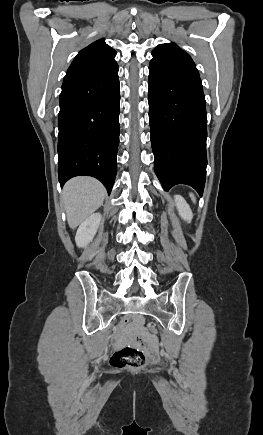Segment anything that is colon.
I'll return each mask as SVG.
<instances>
[{
	"instance_id": "colon-1",
	"label": "colon",
	"mask_w": 263,
	"mask_h": 435,
	"mask_svg": "<svg viewBox=\"0 0 263 435\" xmlns=\"http://www.w3.org/2000/svg\"><path fill=\"white\" fill-rule=\"evenodd\" d=\"M145 328L154 335L157 334V331L150 324H146ZM145 360V354L141 350L134 347H124L114 352L110 361L112 366L117 368L139 369L144 365Z\"/></svg>"
}]
</instances>
